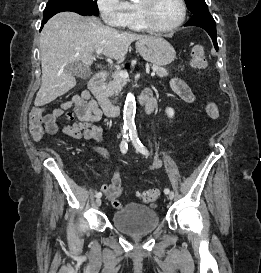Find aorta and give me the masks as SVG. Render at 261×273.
I'll use <instances>...</instances> for the list:
<instances>
[{"mask_svg":"<svg viewBox=\"0 0 261 273\" xmlns=\"http://www.w3.org/2000/svg\"><path fill=\"white\" fill-rule=\"evenodd\" d=\"M135 113H136V101L132 93H128L125 100L123 119L124 127L128 130L135 128Z\"/></svg>","mask_w":261,"mask_h":273,"instance_id":"aorta-1","label":"aorta"}]
</instances>
